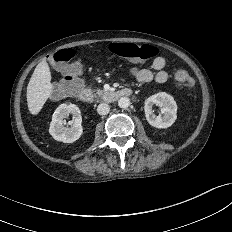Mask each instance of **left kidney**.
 Segmentation results:
<instances>
[{"instance_id":"left-kidney-1","label":"left kidney","mask_w":232,"mask_h":232,"mask_svg":"<svg viewBox=\"0 0 232 232\" xmlns=\"http://www.w3.org/2000/svg\"><path fill=\"white\" fill-rule=\"evenodd\" d=\"M160 105L162 107V115L156 116L152 112V106ZM145 116L148 123L156 128H168L177 118V105L173 96L166 92H159L146 99Z\"/></svg>"}]
</instances>
